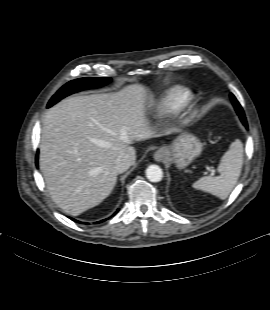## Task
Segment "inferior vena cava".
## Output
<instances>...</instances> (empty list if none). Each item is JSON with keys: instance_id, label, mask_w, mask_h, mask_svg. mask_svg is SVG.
Returning <instances> with one entry per match:
<instances>
[{"instance_id": "inferior-vena-cava-1", "label": "inferior vena cava", "mask_w": 270, "mask_h": 310, "mask_svg": "<svg viewBox=\"0 0 270 310\" xmlns=\"http://www.w3.org/2000/svg\"><path fill=\"white\" fill-rule=\"evenodd\" d=\"M132 165V157L130 154L122 153L120 154L115 162L114 169L117 173L125 172Z\"/></svg>"}]
</instances>
